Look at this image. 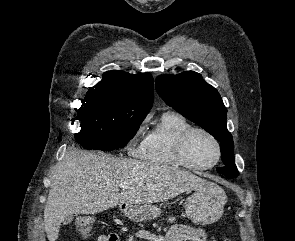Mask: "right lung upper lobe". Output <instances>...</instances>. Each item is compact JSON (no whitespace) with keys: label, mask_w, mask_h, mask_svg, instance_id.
<instances>
[{"label":"right lung upper lobe","mask_w":295,"mask_h":241,"mask_svg":"<svg viewBox=\"0 0 295 241\" xmlns=\"http://www.w3.org/2000/svg\"><path fill=\"white\" fill-rule=\"evenodd\" d=\"M92 93L106 94L149 112L154 99L153 77L150 73L134 75L119 70L107 71L87 92Z\"/></svg>","instance_id":"right-lung-upper-lobe-1"}]
</instances>
